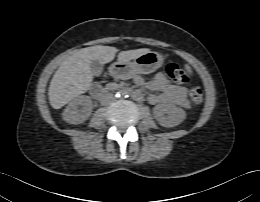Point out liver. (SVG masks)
I'll return each instance as SVG.
<instances>
[{
    "mask_svg": "<svg viewBox=\"0 0 260 202\" xmlns=\"http://www.w3.org/2000/svg\"><path fill=\"white\" fill-rule=\"evenodd\" d=\"M117 51L115 47L97 45L83 48L63 61L50 82L48 90L50 105L54 109H60L85 93L93 80L91 61L97 59L101 64L111 62ZM147 52H150V49L121 51L118 54V61L128 62Z\"/></svg>",
    "mask_w": 260,
    "mask_h": 202,
    "instance_id": "liver-1",
    "label": "liver"
}]
</instances>
